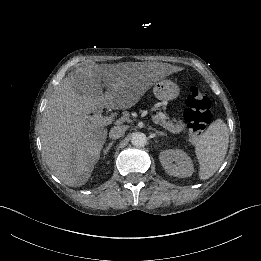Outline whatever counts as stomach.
Returning a JSON list of instances; mask_svg holds the SVG:
<instances>
[{"instance_id": "0dacf381", "label": "stomach", "mask_w": 261, "mask_h": 261, "mask_svg": "<svg viewBox=\"0 0 261 261\" xmlns=\"http://www.w3.org/2000/svg\"><path fill=\"white\" fill-rule=\"evenodd\" d=\"M179 92V87L170 80H162L153 88V93L159 100H173L179 96Z\"/></svg>"}]
</instances>
